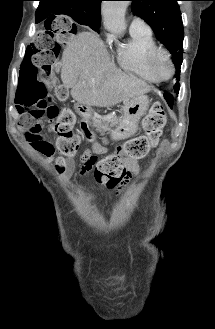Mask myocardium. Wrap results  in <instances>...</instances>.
Segmentation results:
<instances>
[{"label": "myocardium", "instance_id": "f54148a6", "mask_svg": "<svg viewBox=\"0 0 215 329\" xmlns=\"http://www.w3.org/2000/svg\"><path fill=\"white\" fill-rule=\"evenodd\" d=\"M162 58L167 61L170 67V72L167 76H162L159 72L158 64ZM149 68L158 81H167L171 79L175 74V64L170 51L160 47L156 49L149 57Z\"/></svg>", "mask_w": 215, "mask_h": 329}]
</instances>
